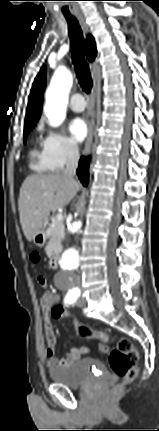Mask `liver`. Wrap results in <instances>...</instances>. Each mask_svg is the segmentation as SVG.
Instances as JSON below:
<instances>
[{
    "label": "liver",
    "mask_w": 159,
    "mask_h": 431,
    "mask_svg": "<svg viewBox=\"0 0 159 431\" xmlns=\"http://www.w3.org/2000/svg\"><path fill=\"white\" fill-rule=\"evenodd\" d=\"M79 183L64 174H33L20 189V223L28 241L41 232L51 211L64 208L79 190Z\"/></svg>",
    "instance_id": "obj_1"
}]
</instances>
